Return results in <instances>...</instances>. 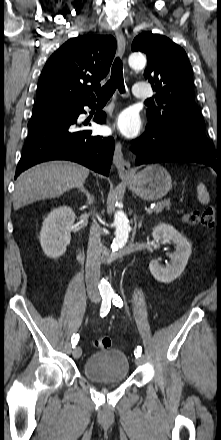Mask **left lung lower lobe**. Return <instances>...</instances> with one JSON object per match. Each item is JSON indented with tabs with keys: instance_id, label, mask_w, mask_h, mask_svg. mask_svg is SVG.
<instances>
[{
	"instance_id": "0a47b994",
	"label": "left lung lower lobe",
	"mask_w": 221,
	"mask_h": 440,
	"mask_svg": "<svg viewBox=\"0 0 221 440\" xmlns=\"http://www.w3.org/2000/svg\"><path fill=\"white\" fill-rule=\"evenodd\" d=\"M136 165L190 161L211 166L221 176V153L211 144L205 127L170 121L162 127L147 124L144 134L131 142Z\"/></svg>"
}]
</instances>
